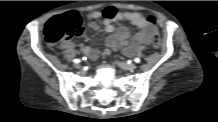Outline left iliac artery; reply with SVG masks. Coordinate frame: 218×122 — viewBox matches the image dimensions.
Returning <instances> with one entry per match:
<instances>
[{"instance_id":"44dca946","label":"left iliac artery","mask_w":218,"mask_h":122,"mask_svg":"<svg viewBox=\"0 0 218 122\" xmlns=\"http://www.w3.org/2000/svg\"><path fill=\"white\" fill-rule=\"evenodd\" d=\"M134 61H135L136 63H139L141 60H140L139 58H135Z\"/></svg>"}]
</instances>
